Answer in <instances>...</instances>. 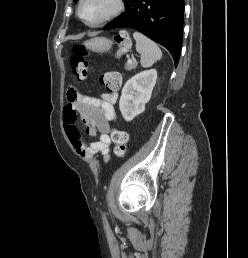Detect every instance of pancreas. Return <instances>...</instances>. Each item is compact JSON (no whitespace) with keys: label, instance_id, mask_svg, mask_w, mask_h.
Returning <instances> with one entry per match:
<instances>
[{"label":"pancreas","instance_id":"pancreas-1","mask_svg":"<svg viewBox=\"0 0 248 258\" xmlns=\"http://www.w3.org/2000/svg\"><path fill=\"white\" fill-rule=\"evenodd\" d=\"M137 61H132L131 63H126V66H125V69L127 70V71H131V70H133V69H135L136 67H137Z\"/></svg>","mask_w":248,"mask_h":258}]
</instances>
